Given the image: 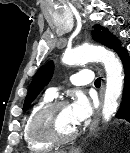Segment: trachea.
<instances>
[{"instance_id":"3493384b","label":"trachea","mask_w":130,"mask_h":153,"mask_svg":"<svg viewBox=\"0 0 130 153\" xmlns=\"http://www.w3.org/2000/svg\"><path fill=\"white\" fill-rule=\"evenodd\" d=\"M95 86H100V84H101V79L100 78H97L96 80H95Z\"/></svg>"}]
</instances>
